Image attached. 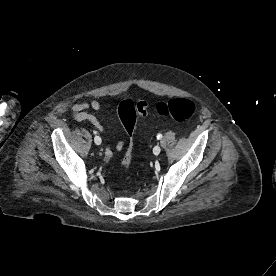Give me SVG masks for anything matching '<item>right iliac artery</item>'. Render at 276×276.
Masks as SVG:
<instances>
[{
    "label": "right iliac artery",
    "mask_w": 276,
    "mask_h": 276,
    "mask_svg": "<svg viewBox=\"0 0 276 276\" xmlns=\"http://www.w3.org/2000/svg\"><path fill=\"white\" fill-rule=\"evenodd\" d=\"M94 134H97L96 131H93ZM96 144H100L101 143V138H99L98 140L95 141Z\"/></svg>",
    "instance_id": "obj_1"
}]
</instances>
